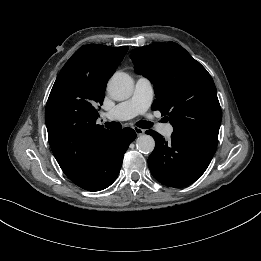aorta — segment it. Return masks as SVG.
Segmentation results:
<instances>
[{"instance_id": "obj_1", "label": "aorta", "mask_w": 261, "mask_h": 261, "mask_svg": "<svg viewBox=\"0 0 261 261\" xmlns=\"http://www.w3.org/2000/svg\"><path fill=\"white\" fill-rule=\"evenodd\" d=\"M133 80L124 73H115L107 84V91L111 98L116 101L128 99L133 93ZM136 147L141 153L149 154L154 150L155 141L152 136L144 134L137 138Z\"/></svg>"}]
</instances>
